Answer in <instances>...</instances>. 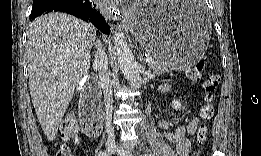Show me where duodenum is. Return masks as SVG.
Here are the masks:
<instances>
[{"label": "duodenum", "instance_id": "obj_1", "mask_svg": "<svg viewBox=\"0 0 261 156\" xmlns=\"http://www.w3.org/2000/svg\"><path fill=\"white\" fill-rule=\"evenodd\" d=\"M85 97L80 103V115L84 122L102 126V106L98 82L92 79Z\"/></svg>", "mask_w": 261, "mask_h": 156}]
</instances>
